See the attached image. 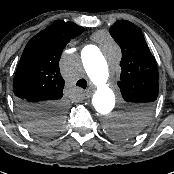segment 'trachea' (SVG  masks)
Returning <instances> with one entry per match:
<instances>
[{
  "instance_id": "trachea-1",
  "label": "trachea",
  "mask_w": 174,
  "mask_h": 174,
  "mask_svg": "<svg viewBox=\"0 0 174 174\" xmlns=\"http://www.w3.org/2000/svg\"><path fill=\"white\" fill-rule=\"evenodd\" d=\"M77 86L86 89L87 87V81L85 79H80L78 80V82L76 83Z\"/></svg>"
}]
</instances>
